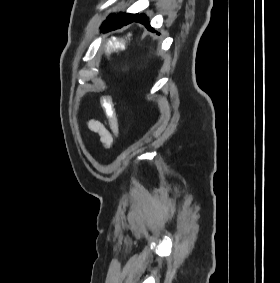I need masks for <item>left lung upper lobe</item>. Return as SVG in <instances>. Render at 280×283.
<instances>
[{
    "instance_id": "obj_1",
    "label": "left lung upper lobe",
    "mask_w": 280,
    "mask_h": 283,
    "mask_svg": "<svg viewBox=\"0 0 280 283\" xmlns=\"http://www.w3.org/2000/svg\"><path fill=\"white\" fill-rule=\"evenodd\" d=\"M134 15L135 14H126V13H121V14H117V15L116 14L110 15L109 18L106 20V22H111L112 20L117 19V18H131ZM106 22H104V23H106Z\"/></svg>"
}]
</instances>
